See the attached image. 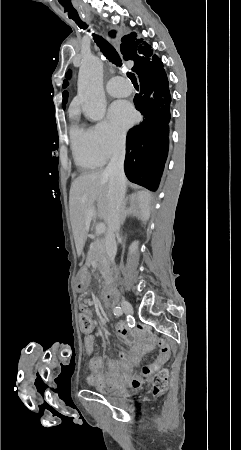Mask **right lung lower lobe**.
Here are the masks:
<instances>
[{"label":"right lung lower lobe","mask_w":241,"mask_h":450,"mask_svg":"<svg viewBox=\"0 0 241 450\" xmlns=\"http://www.w3.org/2000/svg\"><path fill=\"white\" fill-rule=\"evenodd\" d=\"M140 92L135 107L144 116L127 134L124 170L127 178L155 191L168 154L171 95L162 62H150L136 71Z\"/></svg>","instance_id":"98d812e1"}]
</instances>
